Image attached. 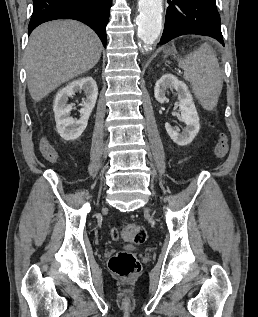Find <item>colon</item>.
<instances>
[{
	"label": "colon",
	"instance_id": "5ec220e1",
	"mask_svg": "<svg viewBox=\"0 0 258 317\" xmlns=\"http://www.w3.org/2000/svg\"><path fill=\"white\" fill-rule=\"evenodd\" d=\"M229 141L225 134L220 135L214 148V153L217 158H223L228 152ZM45 159L50 162H55L58 159L57 154H46ZM112 236L114 238H123L124 240L142 244L145 242L147 232L143 225L139 223L129 222L121 226V228L113 229ZM110 271L122 279H130L137 276L141 270V265L137 257L129 252H117L108 263Z\"/></svg>",
	"mask_w": 258,
	"mask_h": 317
}]
</instances>
